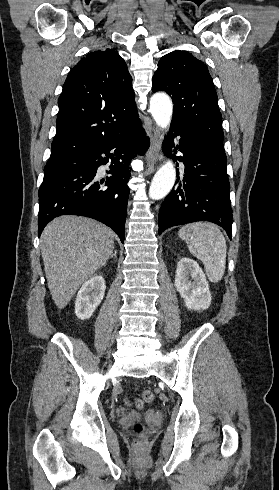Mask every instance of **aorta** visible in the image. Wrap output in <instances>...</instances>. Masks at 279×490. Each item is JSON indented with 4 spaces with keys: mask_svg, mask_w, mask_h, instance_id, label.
<instances>
[{
    "mask_svg": "<svg viewBox=\"0 0 279 490\" xmlns=\"http://www.w3.org/2000/svg\"><path fill=\"white\" fill-rule=\"evenodd\" d=\"M150 112L156 124L167 128L170 124L173 105L170 97L164 93H156L150 99ZM176 169L171 160L165 162L156 172L149 188V197L153 200L164 198L173 188Z\"/></svg>",
    "mask_w": 279,
    "mask_h": 490,
    "instance_id": "aorta-1",
    "label": "aorta"
}]
</instances>
